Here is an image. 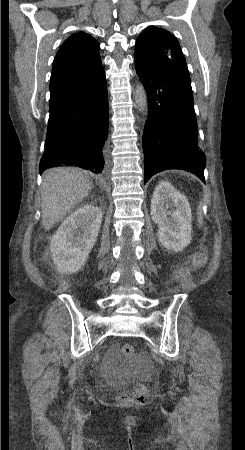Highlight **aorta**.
<instances>
[{
  "label": "aorta",
  "mask_w": 245,
  "mask_h": 450,
  "mask_svg": "<svg viewBox=\"0 0 245 450\" xmlns=\"http://www.w3.org/2000/svg\"><path fill=\"white\" fill-rule=\"evenodd\" d=\"M135 101L140 110L145 111L147 109V95L144 87L139 84L135 90Z\"/></svg>",
  "instance_id": "762f6f07"
}]
</instances>
